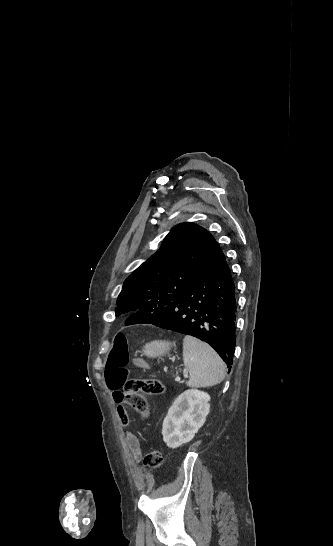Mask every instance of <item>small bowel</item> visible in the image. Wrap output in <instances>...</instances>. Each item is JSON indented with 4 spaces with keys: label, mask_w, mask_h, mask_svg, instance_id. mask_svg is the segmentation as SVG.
I'll list each match as a JSON object with an SVG mask.
<instances>
[{
    "label": "small bowel",
    "mask_w": 333,
    "mask_h": 546,
    "mask_svg": "<svg viewBox=\"0 0 333 546\" xmlns=\"http://www.w3.org/2000/svg\"><path fill=\"white\" fill-rule=\"evenodd\" d=\"M131 361L134 364L133 368L135 372H141V373L147 372L149 365L147 363V360L145 358H142L141 355L139 354L133 355L131 358ZM112 398L114 402L118 405L117 412L120 417V423H119L120 426L129 427L131 418L130 416L126 415L127 414L126 412L128 410L124 408L123 406L125 401L122 399V391L113 390ZM126 444H127L128 450L131 453L133 460L139 461L141 458V449H140V443L138 438L134 434L128 432L126 434Z\"/></svg>",
    "instance_id": "c3829d8e"
}]
</instances>
